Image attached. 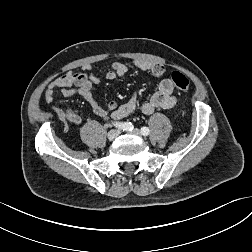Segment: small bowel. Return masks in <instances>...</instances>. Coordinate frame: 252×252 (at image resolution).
<instances>
[{"instance_id":"1","label":"small bowel","mask_w":252,"mask_h":252,"mask_svg":"<svg viewBox=\"0 0 252 252\" xmlns=\"http://www.w3.org/2000/svg\"><path fill=\"white\" fill-rule=\"evenodd\" d=\"M134 65L141 70L151 73L157 78L164 76L165 69L159 63L136 60ZM128 68L121 62H114L106 72L105 78L108 80H118L126 76ZM101 77L91 71L90 66H86L78 72H67L51 82L45 91V101L51 103L56 98V92L59 90L63 96L70 97L73 95L81 96L90 106L91 110L98 116L119 121L135 111L139 106L138 94L134 93L131 98L118 105L115 101H110L106 107H103L92 93L93 85L99 84ZM174 84L169 77L163 78L158 84V90L141 105V111L150 115L157 109H170L177 102L173 94ZM56 116L68 123L79 125L82 118L79 114L69 108H53Z\"/></svg>"}]
</instances>
